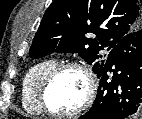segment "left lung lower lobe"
Here are the masks:
<instances>
[{"label":"left lung lower lobe","mask_w":142,"mask_h":119,"mask_svg":"<svg viewBox=\"0 0 142 119\" xmlns=\"http://www.w3.org/2000/svg\"><path fill=\"white\" fill-rule=\"evenodd\" d=\"M97 77V97L79 119H125L141 112L142 29L128 33L111 49Z\"/></svg>","instance_id":"1"}]
</instances>
